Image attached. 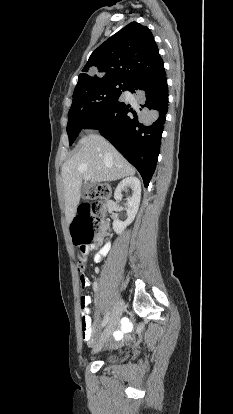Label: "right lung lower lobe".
<instances>
[{
    "instance_id": "right-lung-lower-lobe-1",
    "label": "right lung lower lobe",
    "mask_w": 233,
    "mask_h": 414,
    "mask_svg": "<svg viewBox=\"0 0 233 414\" xmlns=\"http://www.w3.org/2000/svg\"><path fill=\"white\" fill-rule=\"evenodd\" d=\"M126 90L138 95V106L119 99L83 129L98 130L139 171L147 187L156 167L168 110L165 70L130 81Z\"/></svg>"
}]
</instances>
